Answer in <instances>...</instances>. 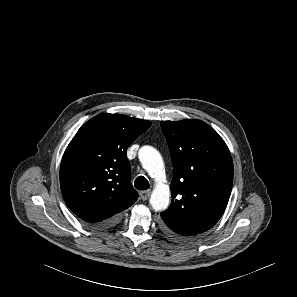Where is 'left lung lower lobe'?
<instances>
[{
	"label": "left lung lower lobe",
	"instance_id": "0a47b994",
	"mask_svg": "<svg viewBox=\"0 0 297 297\" xmlns=\"http://www.w3.org/2000/svg\"><path fill=\"white\" fill-rule=\"evenodd\" d=\"M162 229L163 231L170 236L173 239L180 240L181 238L177 236L170 228H168L166 225L162 224Z\"/></svg>",
	"mask_w": 297,
	"mask_h": 297
}]
</instances>
